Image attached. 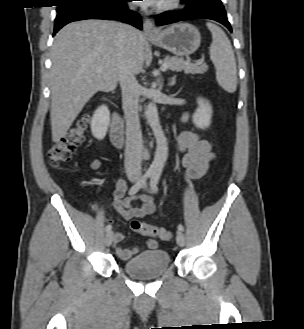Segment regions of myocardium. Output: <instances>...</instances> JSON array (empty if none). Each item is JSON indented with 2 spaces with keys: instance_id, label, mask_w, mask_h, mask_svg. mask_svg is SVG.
Wrapping results in <instances>:
<instances>
[{
  "instance_id": "1",
  "label": "myocardium",
  "mask_w": 304,
  "mask_h": 329,
  "mask_svg": "<svg viewBox=\"0 0 304 329\" xmlns=\"http://www.w3.org/2000/svg\"><path fill=\"white\" fill-rule=\"evenodd\" d=\"M181 0H162L156 7L158 12H168L179 7Z\"/></svg>"
}]
</instances>
